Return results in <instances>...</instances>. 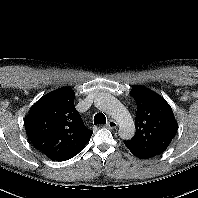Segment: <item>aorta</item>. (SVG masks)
Masks as SVG:
<instances>
[{"label": "aorta", "mask_w": 198, "mask_h": 198, "mask_svg": "<svg viewBox=\"0 0 198 198\" xmlns=\"http://www.w3.org/2000/svg\"><path fill=\"white\" fill-rule=\"evenodd\" d=\"M96 106L111 115L119 125V136L131 139L135 134V124L129 111L113 96L100 94L95 100Z\"/></svg>", "instance_id": "obj_1"}]
</instances>
